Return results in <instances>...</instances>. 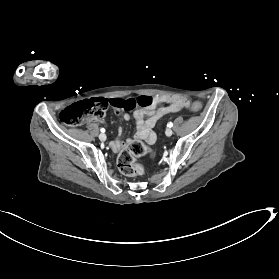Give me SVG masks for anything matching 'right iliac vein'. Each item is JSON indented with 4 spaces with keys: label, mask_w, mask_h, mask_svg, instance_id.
<instances>
[{
    "label": "right iliac vein",
    "mask_w": 279,
    "mask_h": 279,
    "mask_svg": "<svg viewBox=\"0 0 279 279\" xmlns=\"http://www.w3.org/2000/svg\"><path fill=\"white\" fill-rule=\"evenodd\" d=\"M106 135L104 134V133H101L100 135H99V139H100V141H105L106 140Z\"/></svg>",
    "instance_id": "right-iliac-vein-1"
}]
</instances>
